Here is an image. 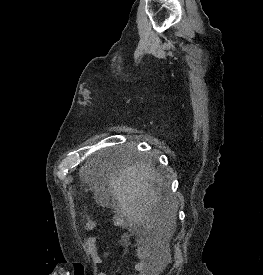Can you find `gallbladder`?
<instances>
[{
    "instance_id": "1",
    "label": "gallbladder",
    "mask_w": 263,
    "mask_h": 275,
    "mask_svg": "<svg viewBox=\"0 0 263 275\" xmlns=\"http://www.w3.org/2000/svg\"><path fill=\"white\" fill-rule=\"evenodd\" d=\"M95 201L98 205L102 206L103 208H105V207L108 208V207L112 206V199L106 190L97 192L95 194Z\"/></svg>"
}]
</instances>
